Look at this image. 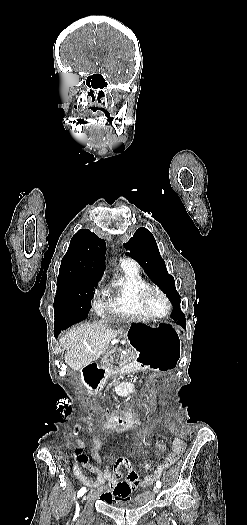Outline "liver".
Wrapping results in <instances>:
<instances>
[{"label":"liver","instance_id":"1","mask_svg":"<svg viewBox=\"0 0 247 525\" xmlns=\"http://www.w3.org/2000/svg\"><path fill=\"white\" fill-rule=\"evenodd\" d=\"M116 337L110 321H95L69 329L59 337V343L66 349L64 361L72 371H80L94 363L105 353L110 341Z\"/></svg>","mask_w":247,"mask_h":525}]
</instances>
